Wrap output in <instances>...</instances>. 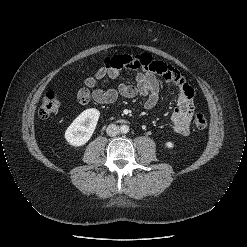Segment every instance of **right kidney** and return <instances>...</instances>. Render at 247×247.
<instances>
[{
	"instance_id": "ca27d5eb",
	"label": "right kidney",
	"mask_w": 247,
	"mask_h": 247,
	"mask_svg": "<svg viewBox=\"0 0 247 247\" xmlns=\"http://www.w3.org/2000/svg\"><path fill=\"white\" fill-rule=\"evenodd\" d=\"M100 112L95 108L84 110L65 131L66 141L75 147L86 144L96 128Z\"/></svg>"
}]
</instances>
